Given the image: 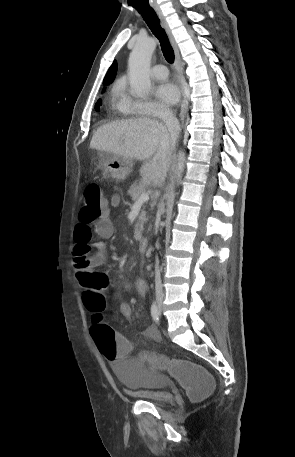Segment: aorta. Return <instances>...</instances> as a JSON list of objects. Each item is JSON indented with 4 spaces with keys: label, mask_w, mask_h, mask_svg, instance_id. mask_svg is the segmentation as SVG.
I'll use <instances>...</instances> for the list:
<instances>
[{
    "label": "aorta",
    "mask_w": 295,
    "mask_h": 457,
    "mask_svg": "<svg viewBox=\"0 0 295 457\" xmlns=\"http://www.w3.org/2000/svg\"><path fill=\"white\" fill-rule=\"evenodd\" d=\"M156 40L148 37L136 42L128 60L129 81L132 92L138 97H145L151 90L150 63L156 49ZM186 156L184 151L177 155L176 183H181L185 168Z\"/></svg>",
    "instance_id": "1"
}]
</instances>
